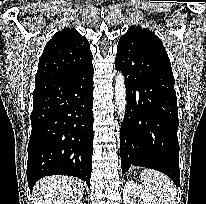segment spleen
<instances>
[{"mask_svg":"<svg viewBox=\"0 0 206 204\" xmlns=\"http://www.w3.org/2000/svg\"><path fill=\"white\" fill-rule=\"evenodd\" d=\"M140 180L156 204H176V188L169 177L153 169H144Z\"/></svg>","mask_w":206,"mask_h":204,"instance_id":"1","label":"spleen"}]
</instances>
